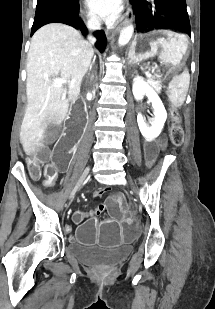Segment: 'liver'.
I'll return each instance as SVG.
<instances>
[{
  "label": "liver",
  "mask_w": 215,
  "mask_h": 309,
  "mask_svg": "<svg viewBox=\"0 0 215 309\" xmlns=\"http://www.w3.org/2000/svg\"><path fill=\"white\" fill-rule=\"evenodd\" d=\"M93 54L91 42L68 24H45L33 34L26 66L28 104L20 130L28 155L44 146L49 124H61L66 118L69 100L77 98ZM55 76L67 80V90L52 86Z\"/></svg>",
  "instance_id": "1"
}]
</instances>
